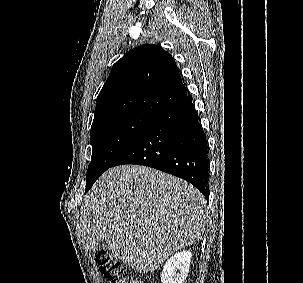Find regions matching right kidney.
Segmentation results:
<instances>
[{
    "mask_svg": "<svg viewBox=\"0 0 303 283\" xmlns=\"http://www.w3.org/2000/svg\"><path fill=\"white\" fill-rule=\"evenodd\" d=\"M192 252L181 251L169 258L161 273L162 283H184L188 276Z\"/></svg>",
    "mask_w": 303,
    "mask_h": 283,
    "instance_id": "1",
    "label": "right kidney"
}]
</instances>
